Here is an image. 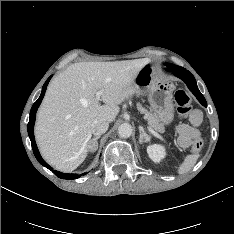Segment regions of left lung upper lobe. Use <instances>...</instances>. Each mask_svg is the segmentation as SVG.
<instances>
[{"label": "left lung upper lobe", "instance_id": "1", "mask_svg": "<svg viewBox=\"0 0 234 234\" xmlns=\"http://www.w3.org/2000/svg\"><path fill=\"white\" fill-rule=\"evenodd\" d=\"M171 65H174V64L166 63V66H167V67H170Z\"/></svg>", "mask_w": 234, "mask_h": 234}]
</instances>
